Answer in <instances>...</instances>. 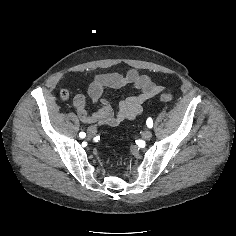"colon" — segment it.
<instances>
[{"instance_id": "obj_1", "label": "colon", "mask_w": 236, "mask_h": 236, "mask_svg": "<svg viewBox=\"0 0 236 236\" xmlns=\"http://www.w3.org/2000/svg\"><path fill=\"white\" fill-rule=\"evenodd\" d=\"M62 95L63 97H66L65 93H63ZM159 100L164 103L171 102L173 100V95L170 93H162L159 96Z\"/></svg>"}]
</instances>
